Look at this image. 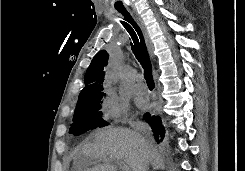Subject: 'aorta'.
I'll list each match as a JSON object with an SVG mask.
<instances>
[{
  "mask_svg": "<svg viewBox=\"0 0 245 171\" xmlns=\"http://www.w3.org/2000/svg\"><path fill=\"white\" fill-rule=\"evenodd\" d=\"M123 74V65L121 63L111 65L106 73V80L111 84L119 82Z\"/></svg>",
  "mask_w": 245,
  "mask_h": 171,
  "instance_id": "obj_1",
  "label": "aorta"
}]
</instances>
